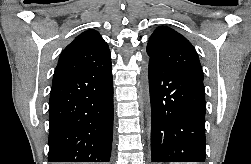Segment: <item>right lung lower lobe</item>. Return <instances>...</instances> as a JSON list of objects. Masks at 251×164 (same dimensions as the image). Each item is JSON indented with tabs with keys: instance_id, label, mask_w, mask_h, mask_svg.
<instances>
[{
	"instance_id": "98d812e1",
	"label": "right lung lower lobe",
	"mask_w": 251,
	"mask_h": 164,
	"mask_svg": "<svg viewBox=\"0 0 251 164\" xmlns=\"http://www.w3.org/2000/svg\"><path fill=\"white\" fill-rule=\"evenodd\" d=\"M49 162H109L113 134L111 64L52 84Z\"/></svg>"
}]
</instances>
